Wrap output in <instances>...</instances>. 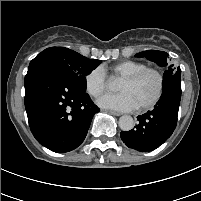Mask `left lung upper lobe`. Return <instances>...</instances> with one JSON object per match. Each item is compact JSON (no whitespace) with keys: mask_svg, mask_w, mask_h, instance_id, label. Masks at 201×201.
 <instances>
[{"mask_svg":"<svg viewBox=\"0 0 201 201\" xmlns=\"http://www.w3.org/2000/svg\"><path fill=\"white\" fill-rule=\"evenodd\" d=\"M136 57H146L147 59L156 62L162 67H166L163 78V88L168 86L172 81L181 82V69L175 68L173 65L167 64L168 54L162 51L148 50L140 52L135 55Z\"/></svg>","mask_w":201,"mask_h":201,"instance_id":"left-lung-upper-lobe-1","label":"left lung upper lobe"}]
</instances>
